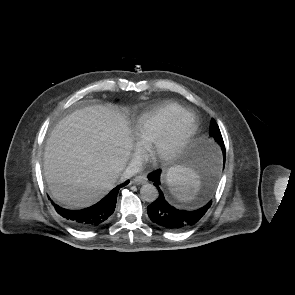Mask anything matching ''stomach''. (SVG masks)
Listing matches in <instances>:
<instances>
[{
  "instance_id": "0dacf381",
  "label": "stomach",
  "mask_w": 295,
  "mask_h": 295,
  "mask_svg": "<svg viewBox=\"0 0 295 295\" xmlns=\"http://www.w3.org/2000/svg\"><path fill=\"white\" fill-rule=\"evenodd\" d=\"M203 153V148L199 145H192L184 156L180 167L187 169H197L202 164L201 154Z\"/></svg>"
}]
</instances>
